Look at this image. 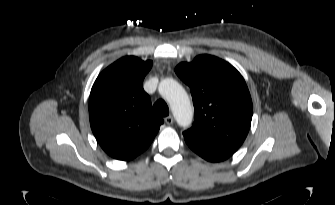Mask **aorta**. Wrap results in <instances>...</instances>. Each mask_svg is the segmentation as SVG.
I'll use <instances>...</instances> for the list:
<instances>
[{"label":"aorta","mask_w":335,"mask_h":205,"mask_svg":"<svg viewBox=\"0 0 335 205\" xmlns=\"http://www.w3.org/2000/svg\"><path fill=\"white\" fill-rule=\"evenodd\" d=\"M159 93L169 102L173 115L181 127H188L193 120V108L184 88L174 79H163Z\"/></svg>","instance_id":"762f6f07"}]
</instances>
